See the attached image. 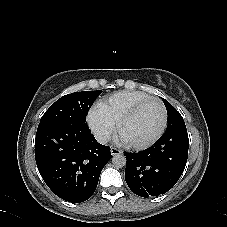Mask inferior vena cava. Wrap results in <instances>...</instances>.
Instances as JSON below:
<instances>
[{
    "instance_id": "1",
    "label": "inferior vena cava",
    "mask_w": 227,
    "mask_h": 227,
    "mask_svg": "<svg viewBox=\"0 0 227 227\" xmlns=\"http://www.w3.org/2000/svg\"><path fill=\"white\" fill-rule=\"evenodd\" d=\"M95 138L100 144H106L110 140V135L104 132L95 133Z\"/></svg>"
}]
</instances>
